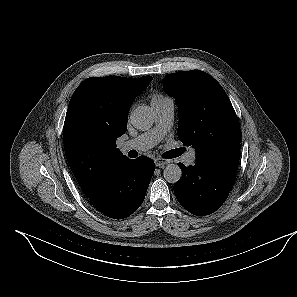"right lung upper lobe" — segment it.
I'll list each match as a JSON object with an SVG mask.
<instances>
[{"label":"right lung upper lobe","mask_w":297,"mask_h":297,"mask_svg":"<svg viewBox=\"0 0 297 297\" xmlns=\"http://www.w3.org/2000/svg\"><path fill=\"white\" fill-rule=\"evenodd\" d=\"M151 80V76L88 78L73 93L63 128L64 149L90 200L99 193L112 168L127 158L116 148V140L127 130L132 102Z\"/></svg>","instance_id":"right-lung-upper-lobe-1"}]
</instances>
